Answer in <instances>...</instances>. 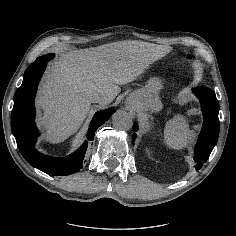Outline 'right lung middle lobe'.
<instances>
[{
	"label": "right lung middle lobe",
	"mask_w": 236,
	"mask_h": 236,
	"mask_svg": "<svg viewBox=\"0 0 236 236\" xmlns=\"http://www.w3.org/2000/svg\"><path fill=\"white\" fill-rule=\"evenodd\" d=\"M52 58H53V54H48V55H45V56L38 57V58L36 59V61L30 65V67L38 66V65H40V64L43 63V62H48V61L51 60ZM30 67H29V68H30Z\"/></svg>",
	"instance_id": "dd1d6c3e"
}]
</instances>
